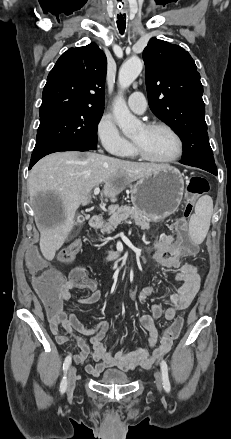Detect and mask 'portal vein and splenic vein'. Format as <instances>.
<instances>
[{"mask_svg":"<svg viewBox=\"0 0 231 439\" xmlns=\"http://www.w3.org/2000/svg\"><path fill=\"white\" fill-rule=\"evenodd\" d=\"M100 193V188L99 187H96L95 189H94V195H98ZM129 224L131 223L130 221L128 222Z\"/></svg>","mask_w":231,"mask_h":439,"instance_id":"obj_1","label":"portal vein and splenic vein"}]
</instances>
